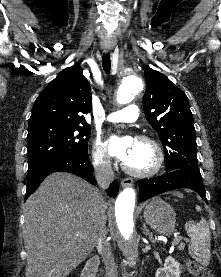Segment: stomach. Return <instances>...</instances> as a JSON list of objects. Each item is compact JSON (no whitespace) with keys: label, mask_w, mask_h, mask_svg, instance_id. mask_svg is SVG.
Instances as JSON below:
<instances>
[{"label":"stomach","mask_w":221,"mask_h":277,"mask_svg":"<svg viewBox=\"0 0 221 277\" xmlns=\"http://www.w3.org/2000/svg\"><path fill=\"white\" fill-rule=\"evenodd\" d=\"M143 217L146 223L160 234H171L175 230L176 213L159 197L153 198L145 206Z\"/></svg>","instance_id":"stomach-1"}]
</instances>
